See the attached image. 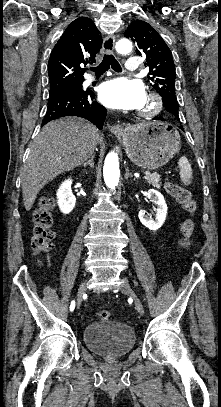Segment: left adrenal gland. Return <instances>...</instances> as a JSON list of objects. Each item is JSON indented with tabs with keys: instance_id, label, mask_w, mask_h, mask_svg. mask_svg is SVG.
Wrapping results in <instances>:
<instances>
[{
	"instance_id": "left-adrenal-gland-1",
	"label": "left adrenal gland",
	"mask_w": 221,
	"mask_h": 407,
	"mask_svg": "<svg viewBox=\"0 0 221 407\" xmlns=\"http://www.w3.org/2000/svg\"><path fill=\"white\" fill-rule=\"evenodd\" d=\"M129 177H133V175L129 172L128 167L126 168L125 179L127 180Z\"/></svg>"
}]
</instances>
